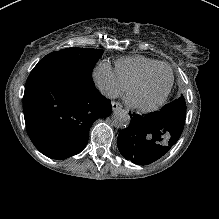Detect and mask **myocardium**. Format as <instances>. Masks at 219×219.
I'll use <instances>...</instances> for the list:
<instances>
[{"instance_id":"myocardium-1","label":"myocardium","mask_w":219,"mask_h":219,"mask_svg":"<svg viewBox=\"0 0 219 219\" xmlns=\"http://www.w3.org/2000/svg\"><path fill=\"white\" fill-rule=\"evenodd\" d=\"M162 67H165L167 68L169 71H170V74H171V80H170V84L167 88V90L165 91V93L161 96L160 99H158L156 102L152 103V104H147V105H144V104H139V103H136L132 100L131 98V93H132V90L135 88V86H137L138 84H140L142 81L150 78L151 76H153L160 68ZM174 79H175V75H174V72L172 70V68L170 66H167V65H164V64H159L156 68H152V69H149L143 73H141L138 77H136L131 83L130 85L128 86V89H127V99H128V102L129 104L139 110V111H144V112H147V111H151V110H154V109H157L158 107H160L166 100L167 98L169 97V94L172 90V87H173V84H174Z\"/></svg>"}]
</instances>
